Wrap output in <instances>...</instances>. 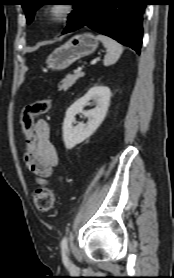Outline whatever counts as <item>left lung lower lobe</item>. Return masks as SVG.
<instances>
[{"mask_svg": "<svg viewBox=\"0 0 174 278\" xmlns=\"http://www.w3.org/2000/svg\"><path fill=\"white\" fill-rule=\"evenodd\" d=\"M147 0H84L63 34L87 26L140 53Z\"/></svg>", "mask_w": 174, "mask_h": 278, "instance_id": "1", "label": "left lung lower lobe"}]
</instances>
